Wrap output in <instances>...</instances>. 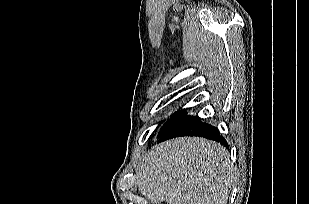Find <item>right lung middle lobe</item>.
I'll return each instance as SVG.
<instances>
[{"label":"right lung middle lobe","instance_id":"dd1d6c3e","mask_svg":"<svg viewBox=\"0 0 309 204\" xmlns=\"http://www.w3.org/2000/svg\"><path fill=\"white\" fill-rule=\"evenodd\" d=\"M186 112L183 110L176 113L174 116H171V119L167 121V123L163 126L159 136L163 135L169 128H171L174 124H176L178 121H180L184 116Z\"/></svg>","mask_w":309,"mask_h":204}]
</instances>
